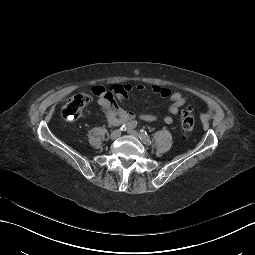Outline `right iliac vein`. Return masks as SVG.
I'll return each instance as SVG.
<instances>
[{
	"label": "right iliac vein",
	"mask_w": 255,
	"mask_h": 255,
	"mask_svg": "<svg viewBox=\"0 0 255 255\" xmlns=\"http://www.w3.org/2000/svg\"><path fill=\"white\" fill-rule=\"evenodd\" d=\"M120 135H121V132H120L119 130H114V131L110 134V139L115 140V139H117Z\"/></svg>",
	"instance_id": "1"
}]
</instances>
